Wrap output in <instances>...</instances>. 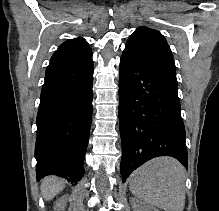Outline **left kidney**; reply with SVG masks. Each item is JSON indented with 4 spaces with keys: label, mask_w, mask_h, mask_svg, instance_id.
<instances>
[{
    "label": "left kidney",
    "mask_w": 219,
    "mask_h": 211,
    "mask_svg": "<svg viewBox=\"0 0 219 211\" xmlns=\"http://www.w3.org/2000/svg\"><path fill=\"white\" fill-rule=\"evenodd\" d=\"M134 211H139V209L135 207ZM140 211H158V209H156V207H142Z\"/></svg>",
    "instance_id": "5707ae66"
}]
</instances>
